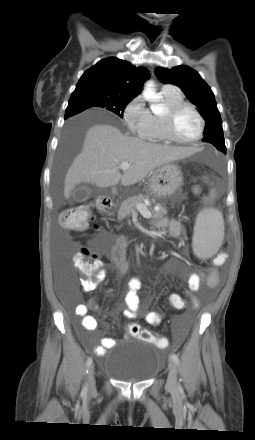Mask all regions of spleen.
<instances>
[{
    "mask_svg": "<svg viewBox=\"0 0 255 440\" xmlns=\"http://www.w3.org/2000/svg\"><path fill=\"white\" fill-rule=\"evenodd\" d=\"M224 238V220L215 209H204L196 217L192 248L194 254L202 259L213 256Z\"/></svg>",
    "mask_w": 255,
    "mask_h": 440,
    "instance_id": "obj_1",
    "label": "spleen"
}]
</instances>
